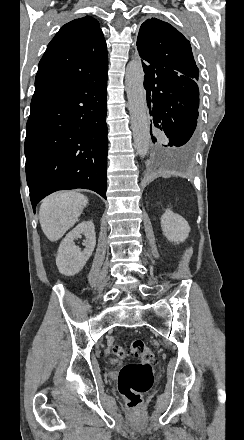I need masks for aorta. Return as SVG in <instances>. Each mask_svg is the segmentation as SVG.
<instances>
[{"instance_id": "aorta-1", "label": "aorta", "mask_w": 244, "mask_h": 440, "mask_svg": "<svg viewBox=\"0 0 244 440\" xmlns=\"http://www.w3.org/2000/svg\"><path fill=\"white\" fill-rule=\"evenodd\" d=\"M125 84L135 149L144 158L149 150L150 135L143 70L138 60L128 63Z\"/></svg>"}]
</instances>
